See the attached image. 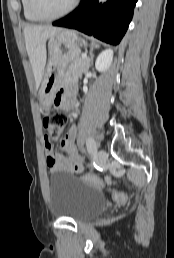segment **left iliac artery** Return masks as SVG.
<instances>
[{"label":"left iliac artery","mask_w":174,"mask_h":258,"mask_svg":"<svg viewBox=\"0 0 174 258\" xmlns=\"http://www.w3.org/2000/svg\"><path fill=\"white\" fill-rule=\"evenodd\" d=\"M86 147L89 154H95L97 151L96 143L92 137L87 139Z\"/></svg>","instance_id":"left-iliac-artery-1"}]
</instances>
